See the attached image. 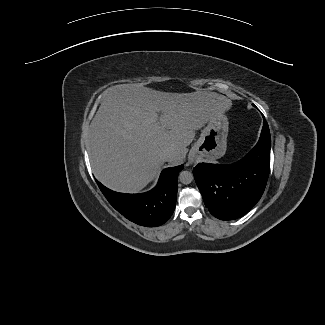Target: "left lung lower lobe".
I'll return each instance as SVG.
<instances>
[{
    "instance_id": "0a47b994",
    "label": "left lung lower lobe",
    "mask_w": 325,
    "mask_h": 325,
    "mask_svg": "<svg viewBox=\"0 0 325 325\" xmlns=\"http://www.w3.org/2000/svg\"><path fill=\"white\" fill-rule=\"evenodd\" d=\"M270 147V131L264 120L258 143L243 159L230 165L199 163L193 168L205 206L213 216L234 220L259 201L269 176Z\"/></svg>"
}]
</instances>
